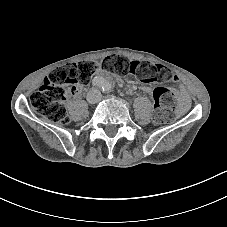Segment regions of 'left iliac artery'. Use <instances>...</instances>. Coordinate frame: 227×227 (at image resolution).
I'll use <instances>...</instances> for the list:
<instances>
[{
  "label": "left iliac artery",
  "instance_id": "obj_1",
  "mask_svg": "<svg viewBox=\"0 0 227 227\" xmlns=\"http://www.w3.org/2000/svg\"><path fill=\"white\" fill-rule=\"evenodd\" d=\"M103 91L109 93L112 90V85L109 82H104Z\"/></svg>",
  "mask_w": 227,
  "mask_h": 227
}]
</instances>
